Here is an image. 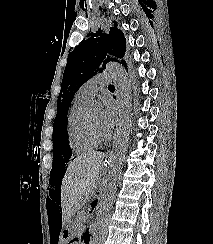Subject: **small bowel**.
Returning a JSON list of instances; mask_svg holds the SVG:
<instances>
[{
    "label": "small bowel",
    "instance_id": "small-bowel-1",
    "mask_svg": "<svg viewBox=\"0 0 213 244\" xmlns=\"http://www.w3.org/2000/svg\"><path fill=\"white\" fill-rule=\"evenodd\" d=\"M70 244H87V242L85 241V239H76L72 241Z\"/></svg>",
    "mask_w": 213,
    "mask_h": 244
}]
</instances>
